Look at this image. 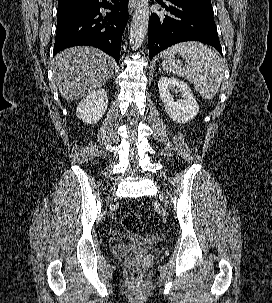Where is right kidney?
Segmentation results:
<instances>
[{
    "mask_svg": "<svg viewBox=\"0 0 272 303\" xmlns=\"http://www.w3.org/2000/svg\"><path fill=\"white\" fill-rule=\"evenodd\" d=\"M107 107V91L99 89L89 93L80 101L76 109V116L84 123L95 124L103 117Z\"/></svg>",
    "mask_w": 272,
    "mask_h": 303,
    "instance_id": "1",
    "label": "right kidney"
}]
</instances>
